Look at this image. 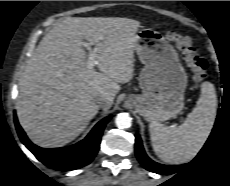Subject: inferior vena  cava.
<instances>
[{"label": "inferior vena cava", "instance_id": "1", "mask_svg": "<svg viewBox=\"0 0 230 186\" xmlns=\"http://www.w3.org/2000/svg\"><path fill=\"white\" fill-rule=\"evenodd\" d=\"M95 103H96L99 107H104V106L108 103V99H107V97H105L104 95L97 96V97L95 98Z\"/></svg>", "mask_w": 230, "mask_h": 186}]
</instances>
